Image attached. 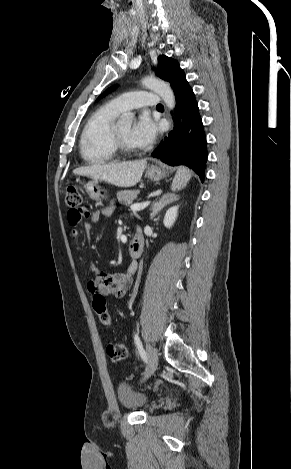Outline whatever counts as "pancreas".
I'll list each match as a JSON object with an SVG mask.
<instances>
[{
    "label": "pancreas",
    "instance_id": "cf45deb5",
    "mask_svg": "<svg viewBox=\"0 0 291 469\" xmlns=\"http://www.w3.org/2000/svg\"><path fill=\"white\" fill-rule=\"evenodd\" d=\"M137 190H124L117 193V199L121 203L131 204L137 198Z\"/></svg>",
    "mask_w": 291,
    "mask_h": 469
}]
</instances>
